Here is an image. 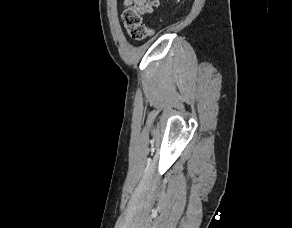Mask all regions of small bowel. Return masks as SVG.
<instances>
[{"label": "small bowel", "mask_w": 292, "mask_h": 228, "mask_svg": "<svg viewBox=\"0 0 292 228\" xmlns=\"http://www.w3.org/2000/svg\"><path fill=\"white\" fill-rule=\"evenodd\" d=\"M125 1V4H130L132 3L133 1H136V0H124Z\"/></svg>", "instance_id": "1"}]
</instances>
